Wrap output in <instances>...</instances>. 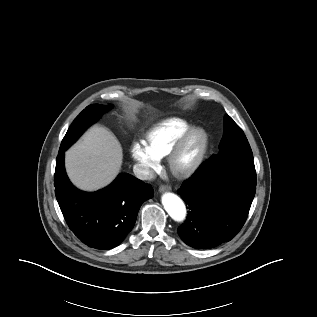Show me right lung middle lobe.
Returning <instances> with one entry per match:
<instances>
[{
  "mask_svg": "<svg viewBox=\"0 0 317 317\" xmlns=\"http://www.w3.org/2000/svg\"><path fill=\"white\" fill-rule=\"evenodd\" d=\"M110 109L108 106L92 104L87 106L73 121L65 137L62 140L60 148L67 149L73 144L84 130L93 124L103 112Z\"/></svg>",
  "mask_w": 317,
  "mask_h": 317,
  "instance_id": "right-lung-middle-lobe-1",
  "label": "right lung middle lobe"
}]
</instances>
